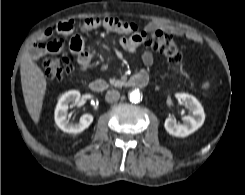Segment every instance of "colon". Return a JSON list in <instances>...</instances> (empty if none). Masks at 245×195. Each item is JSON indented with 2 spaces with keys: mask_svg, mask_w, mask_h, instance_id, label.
<instances>
[{
  "mask_svg": "<svg viewBox=\"0 0 245 195\" xmlns=\"http://www.w3.org/2000/svg\"><path fill=\"white\" fill-rule=\"evenodd\" d=\"M151 49L163 53L169 63L177 66L182 63L183 55L181 46L170 35L156 32L154 37L147 41ZM74 70V59L71 56L47 58L43 62V72L50 80H59L69 77Z\"/></svg>",
  "mask_w": 245,
  "mask_h": 195,
  "instance_id": "1",
  "label": "colon"
}]
</instances>
